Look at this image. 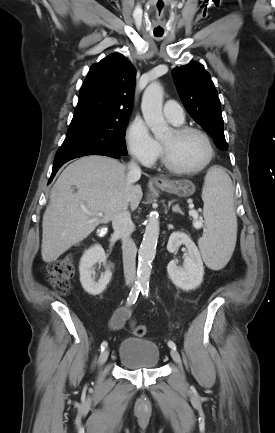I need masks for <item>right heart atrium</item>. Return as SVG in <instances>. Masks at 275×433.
I'll use <instances>...</instances> for the list:
<instances>
[{"label": "right heart atrium", "instance_id": "right-heart-atrium-1", "mask_svg": "<svg viewBox=\"0 0 275 433\" xmlns=\"http://www.w3.org/2000/svg\"><path fill=\"white\" fill-rule=\"evenodd\" d=\"M126 143L129 153L145 166L152 165L160 155V144L151 135L142 118H135L126 129Z\"/></svg>", "mask_w": 275, "mask_h": 433}]
</instances>
